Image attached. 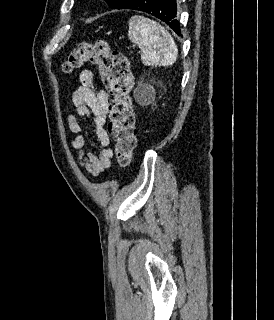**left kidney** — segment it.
Here are the masks:
<instances>
[{"label": "left kidney", "instance_id": "left-kidney-1", "mask_svg": "<svg viewBox=\"0 0 274 320\" xmlns=\"http://www.w3.org/2000/svg\"><path fill=\"white\" fill-rule=\"evenodd\" d=\"M134 96L141 106H149L155 100V90L153 86L143 84V86L136 88Z\"/></svg>", "mask_w": 274, "mask_h": 320}]
</instances>
